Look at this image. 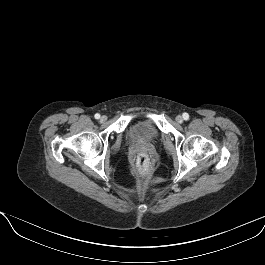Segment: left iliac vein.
Instances as JSON below:
<instances>
[{
  "label": "left iliac vein",
  "mask_w": 265,
  "mask_h": 265,
  "mask_svg": "<svg viewBox=\"0 0 265 265\" xmlns=\"http://www.w3.org/2000/svg\"><path fill=\"white\" fill-rule=\"evenodd\" d=\"M176 121L178 123H182L183 122V117L181 115L176 116Z\"/></svg>",
  "instance_id": "4c4485c4"
}]
</instances>
